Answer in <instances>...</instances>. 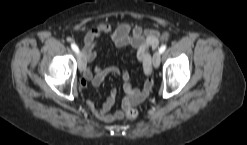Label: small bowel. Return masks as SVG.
Returning a JSON list of instances; mask_svg holds the SVG:
<instances>
[{
  "label": "small bowel",
  "mask_w": 247,
  "mask_h": 145,
  "mask_svg": "<svg viewBox=\"0 0 247 145\" xmlns=\"http://www.w3.org/2000/svg\"><path fill=\"white\" fill-rule=\"evenodd\" d=\"M110 35L114 45L118 48L132 47L136 51V57L142 66L143 73L147 77L141 88L134 87L130 82L129 72L116 66L96 67L92 71L89 67L85 68L83 78L80 82L81 90H86L89 83L93 86H99L108 75H119L123 81V88L126 97L122 102V108L111 111L117 97V90L114 88L110 91L109 96L101 108H96L92 101L88 105L93 114L105 122H114L124 116L126 108L136 106L142 103L148 96L153 87L151 78L152 64L149 53L150 48H156L159 44L169 38L168 32H160L154 29H144L140 25L125 22L117 28L110 24L98 23L85 36L84 55L86 63L93 62L97 57L96 45L97 40L103 35Z\"/></svg>",
  "instance_id": "obj_1"
}]
</instances>
